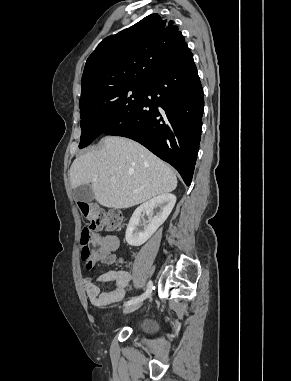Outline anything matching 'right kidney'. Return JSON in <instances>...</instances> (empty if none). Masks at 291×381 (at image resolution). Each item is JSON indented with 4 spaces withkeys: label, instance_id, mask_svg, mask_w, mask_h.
Wrapping results in <instances>:
<instances>
[{
    "label": "right kidney",
    "instance_id": "ca27d5eb",
    "mask_svg": "<svg viewBox=\"0 0 291 381\" xmlns=\"http://www.w3.org/2000/svg\"><path fill=\"white\" fill-rule=\"evenodd\" d=\"M176 203V196L170 193L158 195L151 200L140 205L130 218L126 229L125 239L131 246H140L144 244L153 233L165 222L170 215ZM159 208L155 216L153 210ZM143 214L149 216V224L143 222V230H139L140 218Z\"/></svg>",
    "mask_w": 291,
    "mask_h": 381
}]
</instances>
